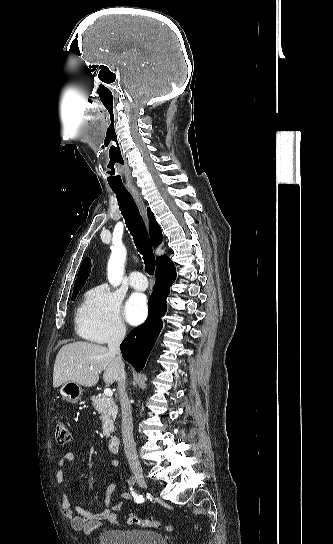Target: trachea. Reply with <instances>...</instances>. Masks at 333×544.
Returning <instances> with one entry per match:
<instances>
[{
	"mask_svg": "<svg viewBox=\"0 0 333 544\" xmlns=\"http://www.w3.org/2000/svg\"><path fill=\"white\" fill-rule=\"evenodd\" d=\"M112 191L116 194L119 209L133 236L134 243L143 256L146 272L149 275H153L155 270V256L139 209L127 190L112 189Z\"/></svg>",
	"mask_w": 333,
	"mask_h": 544,
	"instance_id": "1",
	"label": "trachea"
}]
</instances>
